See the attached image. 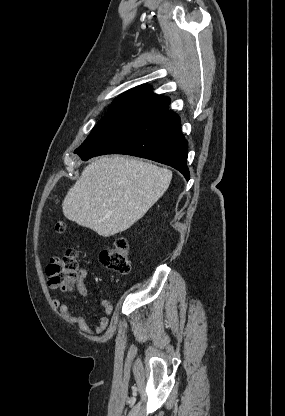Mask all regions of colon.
Here are the masks:
<instances>
[{
    "instance_id": "obj_1",
    "label": "colon",
    "mask_w": 285,
    "mask_h": 416,
    "mask_svg": "<svg viewBox=\"0 0 285 416\" xmlns=\"http://www.w3.org/2000/svg\"><path fill=\"white\" fill-rule=\"evenodd\" d=\"M55 229L59 233L63 232L65 225L57 223ZM129 254V243L126 239L119 238L112 246L101 250L99 259L105 267L125 275L131 268ZM47 274L52 287L67 290L77 286L81 279L77 251L68 249L61 257L51 259Z\"/></svg>"
}]
</instances>
